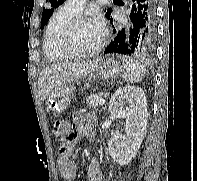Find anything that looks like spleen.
<instances>
[{
	"mask_svg": "<svg viewBox=\"0 0 197 181\" xmlns=\"http://www.w3.org/2000/svg\"><path fill=\"white\" fill-rule=\"evenodd\" d=\"M123 70V79L130 83L142 80L146 71L144 66L127 57L123 58Z\"/></svg>",
	"mask_w": 197,
	"mask_h": 181,
	"instance_id": "3e777b00",
	"label": "spleen"
}]
</instances>
